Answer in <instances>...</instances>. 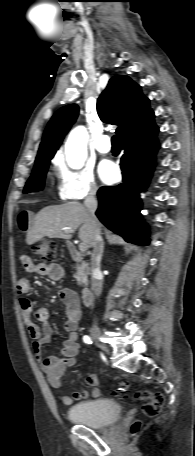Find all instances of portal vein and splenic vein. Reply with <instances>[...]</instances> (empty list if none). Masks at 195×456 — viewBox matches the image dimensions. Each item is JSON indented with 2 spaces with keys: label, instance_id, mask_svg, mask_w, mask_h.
I'll list each match as a JSON object with an SVG mask.
<instances>
[{
  "label": "portal vein and splenic vein",
  "instance_id": "1",
  "mask_svg": "<svg viewBox=\"0 0 195 456\" xmlns=\"http://www.w3.org/2000/svg\"><path fill=\"white\" fill-rule=\"evenodd\" d=\"M65 230H67V231H69V232H71V233L74 232V230L71 229V228H65ZM87 248H88V247H87V245H86L85 243H80V245H79V250H80L81 252H85V251L87 250Z\"/></svg>",
  "mask_w": 195,
  "mask_h": 456
}]
</instances>
